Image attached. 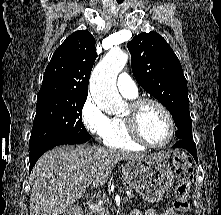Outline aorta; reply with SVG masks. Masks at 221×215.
I'll return each instance as SVG.
<instances>
[{"mask_svg":"<svg viewBox=\"0 0 221 215\" xmlns=\"http://www.w3.org/2000/svg\"><path fill=\"white\" fill-rule=\"evenodd\" d=\"M128 61V55L112 49L97 64L90 79V92L95 103L108 114H119L124 107L116 78Z\"/></svg>","mask_w":221,"mask_h":215,"instance_id":"obj_1","label":"aorta"}]
</instances>
